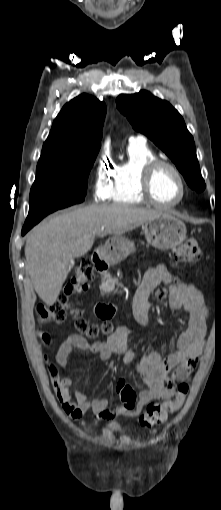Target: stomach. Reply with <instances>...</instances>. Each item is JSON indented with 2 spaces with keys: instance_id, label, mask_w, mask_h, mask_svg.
Wrapping results in <instances>:
<instances>
[{
  "instance_id": "stomach-1",
  "label": "stomach",
  "mask_w": 221,
  "mask_h": 510,
  "mask_svg": "<svg viewBox=\"0 0 221 510\" xmlns=\"http://www.w3.org/2000/svg\"><path fill=\"white\" fill-rule=\"evenodd\" d=\"M143 229L147 242L163 251L180 245L186 239L187 233L185 224L179 218L166 212L146 221ZM107 248L114 262L121 261L135 251L134 243L121 236L113 237L107 244Z\"/></svg>"
}]
</instances>
